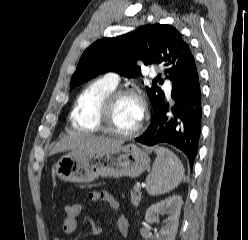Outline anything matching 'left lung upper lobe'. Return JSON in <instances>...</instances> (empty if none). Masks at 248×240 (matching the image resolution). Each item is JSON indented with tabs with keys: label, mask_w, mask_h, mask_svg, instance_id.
<instances>
[{
	"label": "left lung upper lobe",
	"mask_w": 248,
	"mask_h": 240,
	"mask_svg": "<svg viewBox=\"0 0 248 240\" xmlns=\"http://www.w3.org/2000/svg\"><path fill=\"white\" fill-rule=\"evenodd\" d=\"M137 60L145 65L161 64L172 85L182 81L196 67L189 45L176 28L167 24L144 25L131 33L98 40L88 47L72 76L70 90L106 72L136 77L141 74ZM157 80L163 83L160 75ZM147 93L155 112L165 101L164 92L154 86L147 87Z\"/></svg>",
	"instance_id": "1"
}]
</instances>
